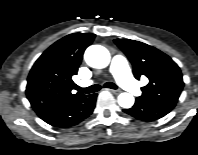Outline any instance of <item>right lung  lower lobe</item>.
I'll use <instances>...</instances> for the list:
<instances>
[{
  "label": "right lung lower lobe",
  "mask_w": 198,
  "mask_h": 155,
  "mask_svg": "<svg viewBox=\"0 0 198 155\" xmlns=\"http://www.w3.org/2000/svg\"><path fill=\"white\" fill-rule=\"evenodd\" d=\"M97 94L80 95L70 101L37 112L46 123L55 127H70L87 118L94 110Z\"/></svg>",
  "instance_id": "obj_1"
}]
</instances>
